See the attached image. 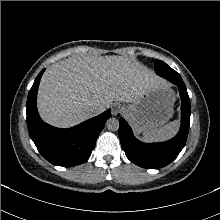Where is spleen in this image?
<instances>
[{
	"label": "spleen",
	"instance_id": "obj_1",
	"mask_svg": "<svg viewBox=\"0 0 220 220\" xmlns=\"http://www.w3.org/2000/svg\"><path fill=\"white\" fill-rule=\"evenodd\" d=\"M179 127V121L175 120L163 127L149 130L143 133L144 139L147 141L166 140L176 134Z\"/></svg>",
	"mask_w": 220,
	"mask_h": 220
}]
</instances>
